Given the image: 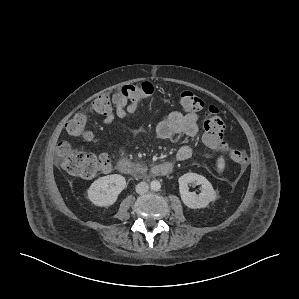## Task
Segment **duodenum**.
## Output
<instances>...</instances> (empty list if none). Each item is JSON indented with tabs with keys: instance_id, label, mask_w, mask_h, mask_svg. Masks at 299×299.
<instances>
[{
	"instance_id": "duodenum-1",
	"label": "duodenum",
	"mask_w": 299,
	"mask_h": 299,
	"mask_svg": "<svg viewBox=\"0 0 299 299\" xmlns=\"http://www.w3.org/2000/svg\"><path fill=\"white\" fill-rule=\"evenodd\" d=\"M117 168L122 174L132 176L147 174L154 176H166L172 171V165L168 162L154 165L148 169L145 166L134 164L126 159L120 160L117 164Z\"/></svg>"
}]
</instances>
